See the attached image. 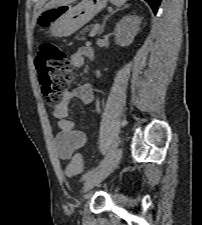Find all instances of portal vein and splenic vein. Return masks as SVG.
Returning a JSON list of instances; mask_svg holds the SVG:
<instances>
[{
  "mask_svg": "<svg viewBox=\"0 0 202 225\" xmlns=\"http://www.w3.org/2000/svg\"><path fill=\"white\" fill-rule=\"evenodd\" d=\"M99 28H100V25L99 24H95L94 27H93V29L90 32V36L91 37L95 36L97 34Z\"/></svg>",
  "mask_w": 202,
  "mask_h": 225,
  "instance_id": "obj_1",
  "label": "portal vein and splenic vein"
}]
</instances>
